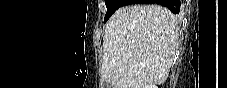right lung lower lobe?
I'll use <instances>...</instances> for the list:
<instances>
[{
	"mask_svg": "<svg viewBox=\"0 0 227 88\" xmlns=\"http://www.w3.org/2000/svg\"><path fill=\"white\" fill-rule=\"evenodd\" d=\"M135 3H156L161 4L171 10L172 13L178 14L180 12V0H129L128 4ZM127 4V5H128Z\"/></svg>",
	"mask_w": 227,
	"mask_h": 88,
	"instance_id": "right-lung-lower-lobe-1",
	"label": "right lung lower lobe"
}]
</instances>
